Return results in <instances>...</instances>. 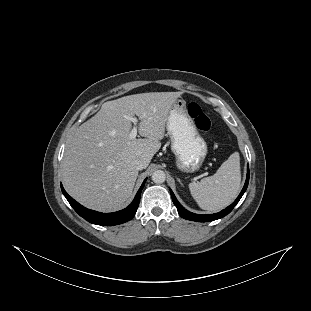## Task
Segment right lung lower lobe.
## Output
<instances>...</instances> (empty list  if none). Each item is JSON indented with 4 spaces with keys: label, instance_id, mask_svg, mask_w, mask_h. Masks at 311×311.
Returning <instances> with one entry per match:
<instances>
[{
    "label": "right lung lower lobe",
    "instance_id": "right-lung-lower-lobe-1",
    "mask_svg": "<svg viewBox=\"0 0 311 311\" xmlns=\"http://www.w3.org/2000/svg\"><path fill=\"white\" fill-rule=\"evenodd\" d=\"M145 182H146V179L144 180L143 184L138 190L132 203L127 208L121 211H118V212H114V213H101V212L87 209L83 207L82 205H80L78 202H76L72 197H70L64 190L62 184H61V190L64 196L66 197V199L68 200V202L70 203V205L85 220H87L90 223L97 224V225L112 226V225H117V224L127 222L134 217L137 211V208L139 206L140 195H141V191L144 187Z\"/></svg>",
    "mask_w": 311,
    "mask_h": 311
}]
</instances>
